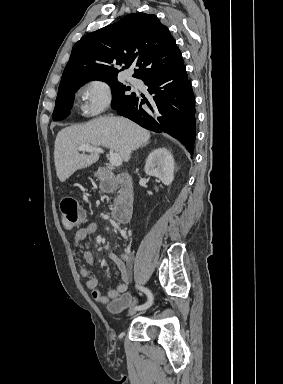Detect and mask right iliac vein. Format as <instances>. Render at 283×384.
I'll return each instance as SVG.
<instances>
[{"label": "right iliac vein", "mask_w": 283, "mask_h": 384, "mask_svg": "<svg viewBox=\"0 0 283 384\" xmlns=\"http://www.w3.org/2000/svg\"><path fill=\"white\" fill-rule=\"evenodd\" d=\"M136 311H138L135 307H132L129 312H128V316H132L136 313Z\"/></svg>", "instance_id": "obj_1"}]
</instances>
